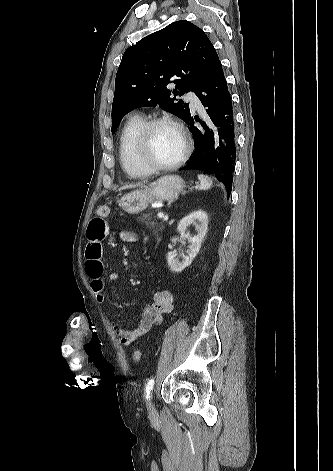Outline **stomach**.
Wrapping results in <instances>:
<instances>
[{"mask_svg": "<svg viewBox=\"0 0 333 471\" xmlns=\"http://www.w3.org/2000/svg\"><path fill=\"white\" fill-rule=\"evenodd\" d=\"M184 188L185 184L180 176L165 175L149 188L135 190L123 195L118 200V205L129 214H138L154 201L175 199Z\"/></svg>", "mask_w": 333, "mask_h": 471, "instance_id": "obj_1", "label": "stomach"}]
</instances>
